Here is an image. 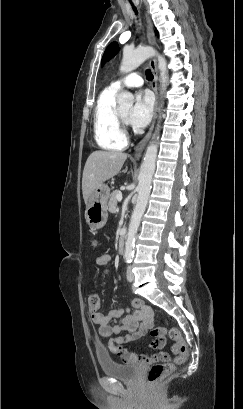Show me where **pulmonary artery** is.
<instances>
[{"instance_id": "1", "label": "pulmonary artery", "mask_w": 243, "mask_h": 409, "mask_svg": "<svg viewBox=\"0 0 243 409\" xmlns=\"http://www.w3.org/2000/svg\"><path fill=\"white\" fill-rule=\"evenodd\" d=\"M142 84V77L138 73L132 72L123 78L113 81L110 87L118 91L123 87H140Z\"/></svg>"}]
</instances>
